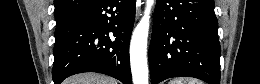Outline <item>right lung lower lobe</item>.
Returning a JSON list of instances; mask_svg holds the SVG:
<instances>
[{
    "instance_id": "98d812e1",
    "label": "right lung lower lobe",
    "mask_w": 260,
    "mask_h": 84,
    "mask_svg": "<svg viewBox=\"0 0 260 84\" xmlns=\"http://www.w3.org/2000/svg\"><path fill=\"white\" fill-rule=\"evenodd\" d=\"M135 0H95L55 30L53 81L82 72L104 73L132 84L129 42Z\"/></svg>"
}]
</instances>
